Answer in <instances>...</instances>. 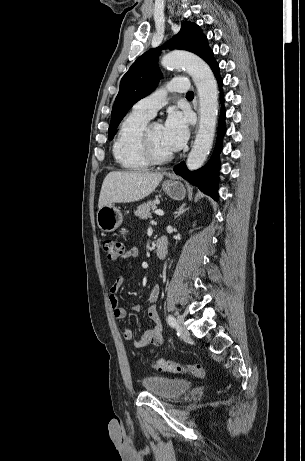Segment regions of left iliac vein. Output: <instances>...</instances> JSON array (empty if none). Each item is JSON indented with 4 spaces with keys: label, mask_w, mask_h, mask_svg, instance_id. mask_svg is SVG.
<instances>
[{
    "label": "left iliac vein",
    "mask_w": 305,
    "mask_h": 461,
    "mask_svg": "<svg viewBox=\"0 0 305 461\" xmlns=\"http://www.w3.org/2000/svg\"><path fill=\"white\" fill-rule=\"evenodd\" d=\"M184 317L183 316H178L177 317V323H178V332H179V335L182 337V338H187L189 337L190 333L188 331V329L186 328L185 324H184Z\"/></svg>",
    "instance_id": "1"
}]
</instances>
